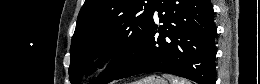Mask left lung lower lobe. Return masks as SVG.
Returning <instances> with one entry per match:
<instances>
[{
  "label": "left lung lower lobe",
  "instance_id": "0a47b994",
  "mask_svg": "<svg viewBox=\"0 0 260 84\" xmlns=\"http://www.w3.org/2000/svg\"><path fill=\"white\" fill-rule=\"evenodd\" d=\"M134 59L111 81L164 72L198 84H215V35L210 0H155L154 12ZM109 81V82H111Z\"/></svg>",
  "mask_w": 260,
  "mask_h": 84
}]
</instances>
